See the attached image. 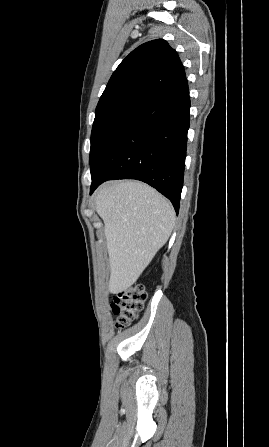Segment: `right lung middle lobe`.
<instances>
[{
	"mask_svg": "<svg viewBox=\"0 0 269 447\" xmlns=\"http://www.w3.org/2000/svg\"><path fill=\"white\" fill-rule=\"evenodd\" d=\"M138 109H140V107H120L95 117L91 133V149L89 157L91 166L97 155L101 152L124 119Z\"/></svg>",
	"mask_w": 269,
	"mask_h": 447,
	"instance_id": "obj_1",
	"label": "right lung middle lobe"
}]
</instances>
